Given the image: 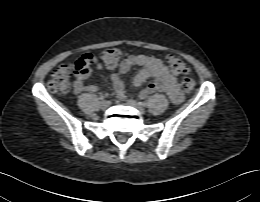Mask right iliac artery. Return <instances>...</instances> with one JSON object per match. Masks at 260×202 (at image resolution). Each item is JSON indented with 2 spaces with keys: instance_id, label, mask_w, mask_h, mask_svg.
Masks as SVG:
<instances>
[{
  "instance_id": "82829eb1",
  "label": "right iliac artery",
  "mask_w": 260,
  "mask_h": 202,
  "mask_svg": "<svg viewBox=\"0 0 260 202\" xmlns=\"http://www.w3.org/2000/svg\"><path fill=\"white\" fill-rule=\"evenodd\" d=\"M104 98H105L104 96H101V97H100V100H104Z\"/></svg>"
}]
</instances>
